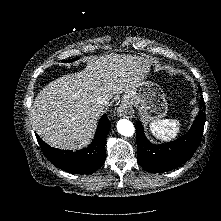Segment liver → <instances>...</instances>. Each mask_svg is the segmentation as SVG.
I'll return each instance as SVG.
<instances>
[{"label": "liver", "instance_id": "1", "mask_svg": "<svg viewBox=\"0 0 221 221\" xmlns=\"http://www.w3.org/2000/svg\"><path fill=\"white\" fill-rule=\"evenodd\" d=\"M148 68L145 59L132 55L89 59L84 70L57 78L39 92L31 108L34 129L52 147H85L104 109L97 98L109 102L114 95L131 91Z\"/></svg>", "mask_w": 221, "mask_h": 221}]
</instances>
